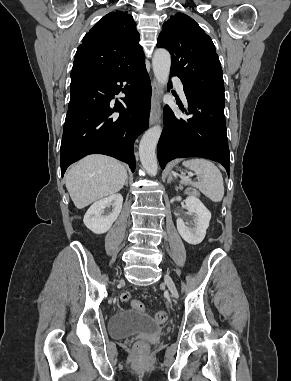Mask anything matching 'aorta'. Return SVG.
Listing matches in <instances>:
<instances>
[{
    "mask_svg": "<svg viewBox=\"0 0 291 381\" xmlns=\"http://www.w3.org/2000/svg\"><path fill=\"white\" fill-rule=\"evenodd\" d=\"M171 66V57L166 49H156L152 59V67L156 80L160 85H167ZM162 132L161 126L148 129L139 145V157L148 174L156 175L158 170L156 146Z\"/></svg>",
    "mask_w": 291,
    "mask_h": 381,
    "instance_id": "762f6f07",
    "label": "aorta"
}]
</instances>
